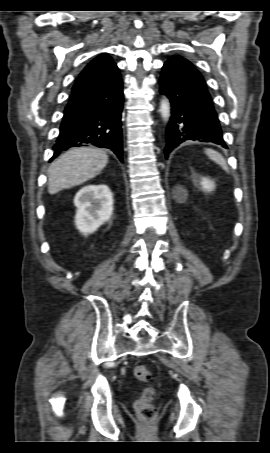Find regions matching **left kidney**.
<instances>
[{
    "label": "left kidney",
    "instance_id": "obj_1",
    "mask_svg": "<svg viewBox=\"0 0 270 453\" xmlns=\"http://www.w3.org/2000/svg\"><path fill=\"white\" fill-rule=\"evenodd\" d=\"M200 183H201L203 191L211 192L215 188L214 181L210 180L209 178H206V177L201 178Z\"/></svg>",
    "mask_w": 270,
    "mask_h": 453
}]
</instances>
